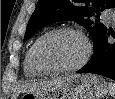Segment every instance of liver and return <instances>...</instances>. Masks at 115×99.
<instances>
[{
	"instance_id": "6515ba94",
	"label": "liver",
	"mask_w": 115,
	"mask_h": 99,
	"mask_svg": "<svg viewBox=\"0 0 115 99\" xmlns=\"http://www.w3.org/2000/svg\"><path fill=\"white\" fill-rule=\"evenodd\" d=\"M71 76L72 75H68L65 77H58V78H55V79L50 80V81L32 82L29 84H25L21 90L24 92H33L36 90L46 89V88H49V87H52V86H55V85L61 83L62 81H64L65 79H67Z\"/></svg>"
}]
</instances>
